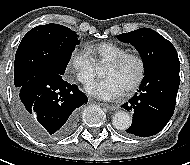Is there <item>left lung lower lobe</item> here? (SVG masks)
<instances>
[{
    "instance_id": "1",
    "label": "left lung lower lobe",
    "mask_w": 190,
    "mask_h": 165,
    "mask_svg": "<svg viewBox=\"0 0 190 165\" xmlns=\"http://www.w3.org/2000/svg\"><path fill=\"white\" fill-rule=\"evenodd\" d=\"M180 62L160 65L145 74L138 93L121 107L134 111L126 132L148 137L160 132L173 115L180 84Z\"/></svg>"
}]
</instances>
